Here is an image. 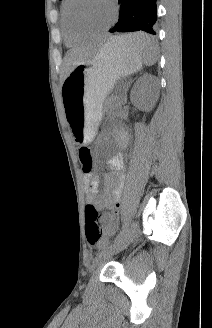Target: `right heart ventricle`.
Here are the masks:
<instances>
[{"mask_svg": "<svg viewBox=\"0 0 212 328\" xmlns=\"http://www.w3.org/2000/svg\"><path fill=\"white\" fill-rule=\"evenodd\" d=\"M66 5H67V0L64 1L63 6H62L61 27H62V32H63V36H64V40H65L66 44L73 45V44L85 39L86 37H88V35L74 34L70 31L67 21H66V17H65Z\"/></svg>", "mask_w": 212, "mask_h": 328, "instance_id": "e07e8e85", "label": "right heart ventricle"}]
</instances>
